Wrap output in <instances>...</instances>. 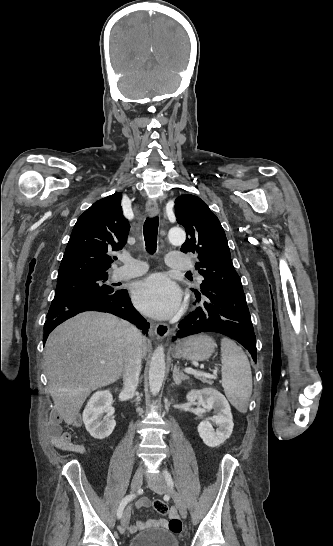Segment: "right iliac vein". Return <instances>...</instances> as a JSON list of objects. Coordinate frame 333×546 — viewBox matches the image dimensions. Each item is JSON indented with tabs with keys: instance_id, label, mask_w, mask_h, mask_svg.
I'll return each instance as SVG.
<instances>
[{
	"instance_id": "1",
	"label": "right iliac vein",
	"mask_w": 333,
	"mask_h": 546,
	"mask_svg": "<svg viewBox=\"0 0 333 546\" xmlns=\"http://www.w3.org/2000/svg\"><path fill=\"white\" fill-rule=\"evenodd\" d=\"M142 483H143V474H142V472H137L134 475V477L132 479V482H131L132 491L134 492V491L138 490L141 487ZM129 521H130V508L127 507V509L124 511L122 519H121V529H120L121 532L125 531L126 527L129 524Z\"/></svg>"
}]
</instances>
